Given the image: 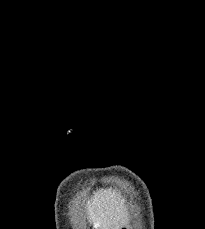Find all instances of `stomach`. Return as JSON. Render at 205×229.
<instances>
[{"mask_svg": "<svg viewBox=\"0 0 205 229\" xmlns=\"http://www.w3.org/2000/svg\"><path fill=\"white\" fill-rule=\"evenodd\" d=\"M122 228H124V229H132L131 225H126V226H124Z\"/></svg>", "mask_w": 205, "mask_h": 229, "instance_id": "stomach-1", "label": "stomach"}]
</instances>
